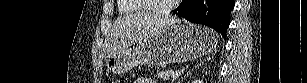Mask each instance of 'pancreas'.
Masks as SVG:
<instances>
[{
	"label": "pancreas",
	"instance_id": "cf45deb5",
	"mask_svg": "<svg viewBox=\"0 0 307 83\" xmlns=\"http://www.w3.org/2000/svg\"><path fill=\"white\" fill-rule=\"evenodd\" d=\"M174 73L173 70H163L158 72V77L163 80H169L171 79V75Z\"/></svg>",
	"mask_w": 307,
	"mask_h": 83
}]
</instances>
